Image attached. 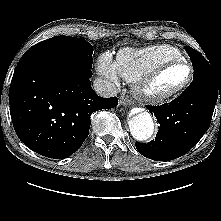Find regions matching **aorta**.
<instances>
[{
  "mask_svg": "<svg viewBox=\"0 0 221 221\" xmlns=\"http://www.w3.org/2000/svg\"><path fill=\"white\" fill-rule=\"evenodd\" d=\"M132 136L138 141L149 139L154 132V122L149 112H140L128 120Z\"/></svg>",
  "mask_w": 221,
  "mask_h": 221,
  "instance_id": "obj_1",
  "label": "aorta"
}]
</instances>
